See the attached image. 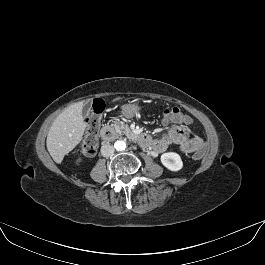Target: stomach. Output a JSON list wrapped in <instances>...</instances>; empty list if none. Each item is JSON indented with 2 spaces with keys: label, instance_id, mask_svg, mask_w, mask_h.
Here are the masks:
<instances>
[{
  "label": "stomach",
  "instance_id": "obj_1",
  "mask_svg": "<svg viewBox=\"0 0 265 265\" xmlns=\"http://www.w3.org/2000/svg\"><path fill=\"white\" fill-rule=\"evenodd\" d=\"M140 110V106L138 104H125L121 107V113L126 118L134 117Z\"/></svg>",
  "mask_w": 265,
  "mask_h": 265
}]
</instances>
